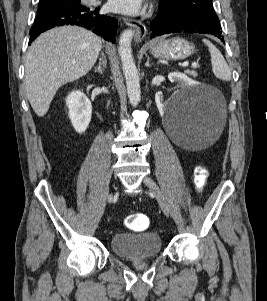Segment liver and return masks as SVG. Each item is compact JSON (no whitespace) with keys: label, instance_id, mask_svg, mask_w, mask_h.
Masks as SVG:
<instances>
[{"label":"liver","instance_id":"liver-1","mask_svg":"<svg viewBox=\"0 0 267 301\" xmlns=\"http://www.w3.org/2000/svg\"><path fill=\"white\" fill-rule=\"evenodd\" d=\"M102 48L101 38L77 27L62 26L41 34L30 46L25 64V90L39 117L49 110L57 90L85 76Z\"/></svg>","mask_w":267,"mask_h":301}]
</instances>
